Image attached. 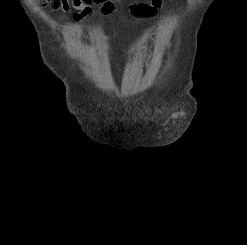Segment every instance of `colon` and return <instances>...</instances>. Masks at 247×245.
Listing matches in <instances>:
<instances>
[{"label":"colon","instance_id":"colon-1","mask_svg":"<svg viewBox=\"0 0 247 245\" xmlns=\"http://www.w3.org/2000/svg\"><path fill=\"white\" fill-rule=\"evenodd\" d=\"M40 1L42 3L48 2V0H40ZM93 2L102 4L101 11L104 14L112 11L114 7V0H93Z\"/></svg>","mask_w":247,"mask_h":245}]
</instances>
